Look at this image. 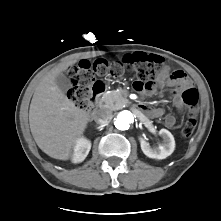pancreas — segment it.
Segmentation results:
<instances>
[{
    "label": "pancreas",
    "mask_w": 221,
    "mask_h": 221,
    "mask_svg": "<svg viewBox=\"0 0 221 221\" xmlns=\"http://www.w3.org/2000/svg\"><path fill=\"white\" fill-rule=\"evenodd\" d=\"M125 95L120 90L109 91L103 94L99 105L102 108L118 109L125 103Z\"/></svg>",
    "instance_id": "1"
}]
</instances>
